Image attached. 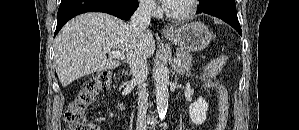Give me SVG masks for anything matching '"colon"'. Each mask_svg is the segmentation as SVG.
<instances>
[{
    "label": "colon",
    "mask_w": 299,
    "mask_h": 130,
    "mask_svg": "<svg viewBox=\"0 0 299 130\" xmlns=\"http://www.w3.org/2000/svg\"><path fill=\"white\" fill-rule=\"evenodd\" d=\"M227 58L222 55L216 58L208 67L210 74L218 73L226 64ZM113 74L109 71H98L90 75L83 83L65 111V121L69 130H101L100 127L86 117L88 108L95 102L101 91L107 90L113 82ZM219 97V120L215 130H225L229 117V102L226 90L216 86Z\"/></svg>",
    "instance_id": "1"
}]
</instances>
